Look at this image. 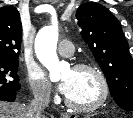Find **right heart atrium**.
Instances as JSON below:
<instances>
[{
    "mask_svg": "<svg viewBox=\"0 0 133 118\" xmlns=\"http://www.w3.org/2000/svg\"><path fill=\"white\" fill-rule=\"evenodd\" d=\"M28 83L32 94L36 98H50L52 93L51 83L42 70H31L28 74Z\"/></svg>",
    "mask_w": 133,
    "mask_h": 118,
    "instance_id": "1",
    "label": "right heart atrium"
}]
</instances>
